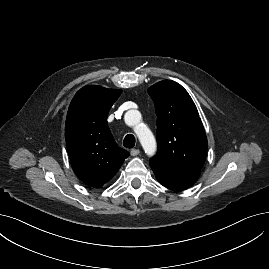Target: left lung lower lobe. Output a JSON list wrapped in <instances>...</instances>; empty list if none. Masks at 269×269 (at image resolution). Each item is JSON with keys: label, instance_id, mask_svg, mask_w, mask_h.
Returning a JSON list of instances; mask_svg holds the SVG:
<instances>
[{"label": "left lung lower lobe", "instance_id": "left-lung-lower-lobe-1", "mask_svg": "<svg viewBox=\"0 0 269 269\" xmlns=\"http://www.w3.org/2000/svg\"><path fill=\"white\" fill-rule=\"evenodd\" d=\"M149 163L158 182L174 191L191 187L200 176L198 170L169 166L151 159Z\"/></svg>", "mask_w": 269, "mask_h": 269}]
</instances>
